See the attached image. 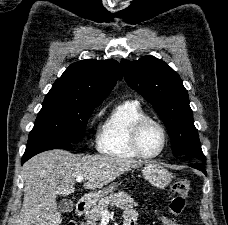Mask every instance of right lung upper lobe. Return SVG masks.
Segmentation results:
<instances>
[{
    "instance_id": "obj_1",
    "label": "right lung upper lobe",
    "mask_w": 228,
    "mask_h": 225,
    "mask_svg": "<svg viewBox=\"0 0 228 225\" xmlns=\"http://www.w3.org/2000/svg\"><path fill=\"white\" fill-rule=\"evenodd\" d=\"M119 63L113 59H85L70 65L49 93L92 103H101L121 80Z\"/></svg>"
}]
</instances>
